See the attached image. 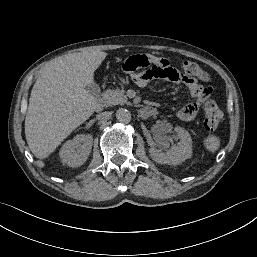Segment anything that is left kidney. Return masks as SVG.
<instances>
[{"label": "left kidney", "instance_id": "obj_1", "mask_svg": "<svg viewBox=\"0 0 257 257\" xmlns=\"http://www.w3.org/2000/svg\"><path fill=\"white\" fill-rule=\"evenodd\" d=\"M179 143L169 147V139L164 132L156 137L158 148H150L151 158L159 164L178 165L192 155V139L190 134L182 127L174 129Z\"/></svg>", "mask_w": 257, "mask_h": 257}]
</instances>
